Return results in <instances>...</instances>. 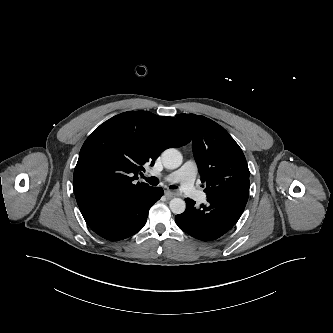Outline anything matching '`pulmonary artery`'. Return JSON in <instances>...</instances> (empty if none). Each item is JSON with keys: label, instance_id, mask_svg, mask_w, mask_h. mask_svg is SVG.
<instances>
[{"label": "pulmonary artery", "instance_id": "1", "mask_svg": "<svg viewBox=\"0 0 333 333\" xmlns=\"http://www.w3.org/2000/svg\"><path fill=\"white\" fill-rule=\"evenodd\" d=\"M197 173L196 163L192 160L186 161L181 168L168 174L158 175L167 182H180L182 190L189 196L197 200H203L205 194L198 190L195 185V177ZM156 175V174H155Z\"/></svg>", "mask_w": 333, "mask_h": 333}]
</instances>
